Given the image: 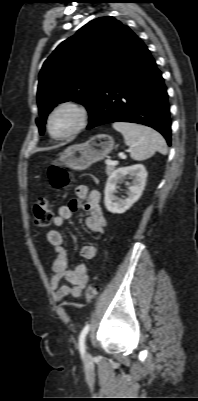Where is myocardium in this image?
Instances as JSON below:
<instances>
[{
    "label": "myocardium",
    "mask_w": 198,
    "mask_h": 401,
    "mask_svg": "<svg viewBox=\"0 0 198 401\" xmlns=\"http://www.w3.org/2000/svg\"><path fill=\"white\" fill-rule=\"evenodd\" d=\"M71 111L74 113L76 117L75 126L65 134L62 135H54L51 130V122L52 118L61 111ZM90 120V110L89 108L78 100H64L57 103L49 112L46 120V130L50 138L56 141H63L69 139L78 133H80L83 129L86 128Z\"/></svg>",
    "instance_id": "myocardium-1"
}]
</instances>
